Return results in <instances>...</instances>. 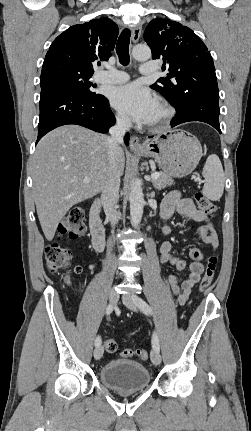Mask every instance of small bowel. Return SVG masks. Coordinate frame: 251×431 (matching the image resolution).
<instances>
[{
	"instance_id": "c3829d8e",
	"label": "small bowel",
	"mask_w": 251,
	"mask_h": 431,
	"mask_svg": "<svg viewBox=\"0 0 251 431\" xmlns=\"http://www.w3.org/2000/svg\"><path fill=\"white\" fill-rule=\"evenodd\" d=\"M175 213H178L188 221L201 224L198 228V234L202 241L211 245L214 249L217 248L218 236L213 224L209 221L206 214L195 207L191 199L182 198L178 191L169 193L161 204V217L165 222L163 226L164 234H170L171 229L167 224V221ZM189 257L192 262L188 266V277L182 282H179L177 277L174 275H170L168 278V287L170 291L177 296V302L179 305L186 304L192 288L199 281L204 270V265L202 263L204 256L199 248H191L189 250ZM160 262L162 264H170L177 270H183L186 266L184 260L173 254L172 244L169 241L163 242L160 246Z\"/></svg>"
}]
</instances>
